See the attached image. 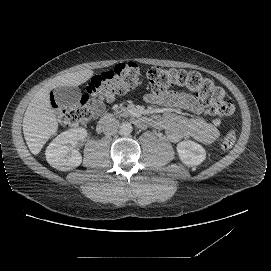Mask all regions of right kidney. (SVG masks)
<instances>
[{"mask_svg": "<svg viewBox=\"0 0 271 271\" xmlns=\"http://www.w3.org/2000/svg\"><path fill=\"white\" fill-rule=\"evenodd\" d=\"M87 134V129L84 127L61 132L46 149L47 162L62 171L77 167L81 163V155L73 146L85 139Z\"/></svg>", "mask_w": 271, "mask_h": 271, "instance_id": "1", "label": "right kidney"}]
</instances>
